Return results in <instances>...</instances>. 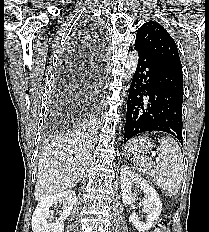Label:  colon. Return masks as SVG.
Masks as SVG:
<instances>
[{
    "instance_id": "1",
    "label": "colon",
    "mask_w": 209,
    "mask_h": 232,
    "mask_svg": "<svg viewBox=\"0 0 209 232\" xmlns=\"http://www.w3.org/2000/svg\"><path fill=\"white\" fill-rule=\"evenodd\" d=\"M169 224L170 217L168 215H162L157 222V228L155 232H166Z\"/></svg>"
}]
</instances>
